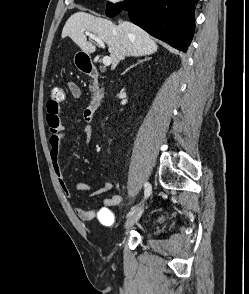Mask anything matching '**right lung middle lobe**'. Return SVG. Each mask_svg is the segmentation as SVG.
<instances>
[{
  "instance_id": "dd1d6c3e",
  "label": "right lung middle lobe",
  "mask_w": 249,
  "mask_h": 294,
  "mask_svg": "<svg viewBox=\"0 0 249 294\" xmlns=\"http://www.w3.org/2000/svg\"><path fill=\"white\" fill-rule=\"evenodd\" d=\"M126 3L127 2L117 3L115 5L110 3L107 7V15L110 17L117 15L123 9V7L126 5Z\"/></svg>"
}]
</instances>
